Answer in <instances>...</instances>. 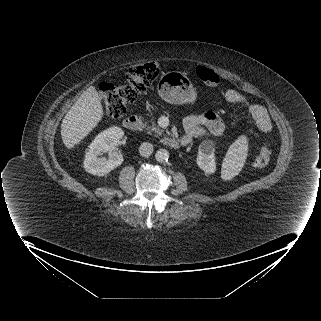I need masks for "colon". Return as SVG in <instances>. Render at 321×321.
I'll list each match as a JSON object with an SVG mask.
<instances>
[{
    "mask_svg": "<svg viewBox=\"0 0 321 321\" xmlns=\"http://www.w3.org/2000/svg\"><path fill=\"white\" fill-rule=\"evenodd\" d=\"M159 74L156 63L149 62L130 67L125 74V83L114 85L105 83L99 90V96L107 115L112 118H121L128 104L134 102L139 95L146 91ZM197 76L206 85L215 87L221 82L220 76L206 66L197 68ZM271 158L269 142L263 143L259 154L254 160L258 168L265 167Z\"/></svg>",
    "mask_w": 321,
    "mask_h": 321,
    "instance_id": "colon-1",
    "label": "colon"
}]
</instances>
